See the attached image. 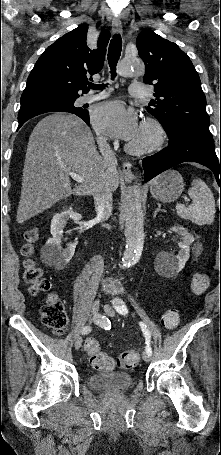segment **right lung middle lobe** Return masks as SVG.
Returning a JSON list of instances; mask_svg holds the SVG:
<instances>
[{"instance_id": "right-lung-middle-lobe-1", "label": "right lung middle lobe", "mask_w": 221, "mask_h": 455, "mask_svg": "<svg viewBox=\"0 0 221 455\" xmlns=\"http://www.w3.org/2000/svg\"><path fill=\"white\" fill-rule=\"evenodd\" d=\"M77 98H72V99H68V100H64V101H61V102H58L48 108H62V109H67V110H70V111H73L74 113L76 114H83L85 112L84 109L82 108H77L74 106V102ZM27 111H21L19 112V114H22V113H25Z\"/></svg>"}]
</instances>
